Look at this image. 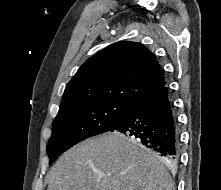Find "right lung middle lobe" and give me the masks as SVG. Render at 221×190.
Returning <instances> with one entry per match:
<instances>
[{
	"label": "right lung middle lobe",
	"mask_w": 221,
	"mask_h": 190,
	"mask_svg": "<svg viewBox=\"0 0 221 190\" xmlns=\"http://www.w3.org/2000/svg\"><path fill=\"white\" fill-rule=\"evenodd\" d=\"M131 106L116 100H101L60 108L47 144L49 164L80 141L111 131Z\"/></svg>",
	"instance_id": "right-lung-middle-lobe-1"
}]
</instances>
